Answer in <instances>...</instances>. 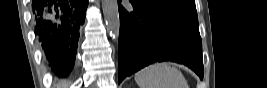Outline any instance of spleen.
Segmentation results:
<instances>
[{"instance_id":"1","label":"spleen","mask_w":267,"mask_h":88,"mask_svg":"<svg viewBox=\"0 0 267 88\" xmlns=\"http://www.w3.org/2000/svg\"><path fill=\"white\" fill-rule=\"evenodd\" d=\"M139 88H189L181 71L168 63H155L135 74Z\"/></svg>"}]
</instances>
